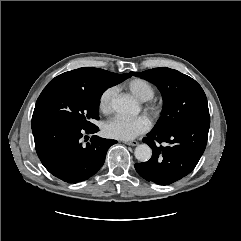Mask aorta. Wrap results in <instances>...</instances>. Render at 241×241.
Segmentation results:
<instances>
[{
    "mask_svg": "<svg viewBox=\"0 0 241 241\" xmlns=\"http://www.w3.org/2000/svg\"><path fill=\"white\" fill-rule=\"evenodd\" d=\"M111 107L122 115H135L139 112L138 105L129 97H116L112 99ZM134 155L138 161L146 162L151 158L152 150L147 144H141L135 148Z\"/></svg>",
    "mask_w": 241,
    "mask_h": 241,
    "instance_id": "obj_1",
    "label": "aorta"
}]
</instances>
